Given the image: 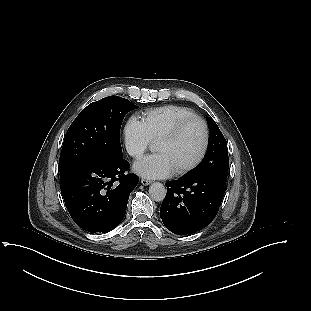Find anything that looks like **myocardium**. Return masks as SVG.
<instances>
[{
    "mask_svg": "<svg viewBox=\"0 0 311 311\" xmlns=\"http://www.w3.org/2000/svg\"><path fill=\"white\" fill-rule=\"evenodd\" d=\"M194 123L199 124L202 128L203 138H202L201 148H200L198 154L196 155V157L191 162H189V163L177 168L176 170H174L175 175H181V174H184V173L194 169L196 166H198L200 164V162L205 157V154L207 152L208 145H209V129H208L206 122L198 116L185 118V119L177 122L169 130H167L163 134H161L158 137V139L156 140V142L174 140L184 131V129H186L188 126H190L191 124H194Z\"/></svg>",
    "mask_w": 311,
    "mask_h": 311,
    "instance_id": "1",
    "label": "myocardium"
}]
</instances>
